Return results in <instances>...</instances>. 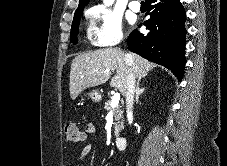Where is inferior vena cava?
I'll return each instance as SVG.
<instances>
[{"instance_id": "1", "label": "inferior vena cava", "mask_w": 227, "mask_h": 166, "mask_svg": "<svg viewBox=\"0 0 227 166\" xmlns=\"http://www.w3.org/2000/svg\"><path fill=\"white\" fill-rule=\"evenodd\" d=\"M129 57H126V63L128 64ZM134 93H135V77L131 72V69L128 70L126 77V109H127V117L129 124H131V117L133 114V105H134Z\"/></svg>"}]
</instances>
